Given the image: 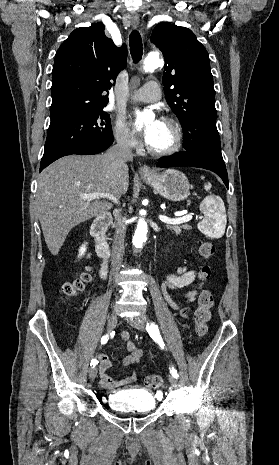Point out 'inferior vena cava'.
Segmentation results:
<instances>
[{
    "label": "inferior vena cava",
    "mask_w": 279,
    "mask_h": 465,
    "mask_svg": "<svg viewBox=\"0 0 279 465\" xmlns=\"http://www.w3.org/2000/svg\"><path fill=\"white\" fill-rule=\"evenodd\" d=\"M106 158L111 162V166L122 168L126 166V161L133 160L131 145L126 137H119L117 144L112 146L106 153ZM115 216V235H114V255L112 258V271L114 275H118L122 262V253L124 251V238L126 227L123 223L121 213L116 210Z\"/></svg>",
    "instance_id": "1"
}]
</instances>
